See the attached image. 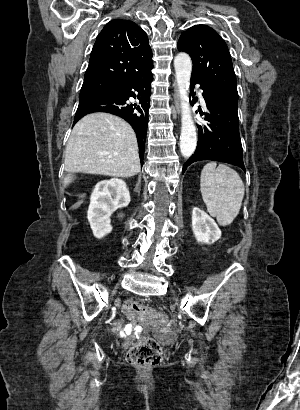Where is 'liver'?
Instances as JSON below:
<instances>
[{
    "mask_svg": "<svg viewBox=\"0 0 300 410\" xmlns=\"http://www.w3.org/2000/svg\"><path fill=\"white\" fill-rule=\"evenodd\" d=\"M65 186L74 173L131 177L141 170L138 143L131 126L120 117L93 113L73 128L64 155Z\"/></svg>",
    "mask_w": 300,
    "mask_h": 410,
    "instance_id": "liver-1",
    "label": "liver"
}]
</instances>
